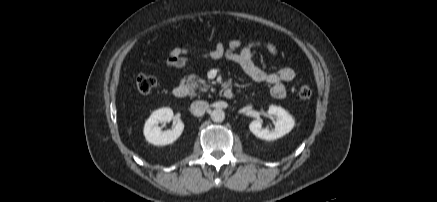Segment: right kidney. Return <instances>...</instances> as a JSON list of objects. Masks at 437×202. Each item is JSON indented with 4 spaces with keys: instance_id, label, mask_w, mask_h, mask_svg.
I'll use <instances>...</instances> for the list:
<instances>
[{
    "instance_id": "ca27d5eb",
    "label": "right kidney",
    "mask_w": 437,
    "mask_h": 202,
    "mask_svg": "<svg viewBox=\"0 0 437 202\" xmlns=\"http://www.w3.org/2000/svg\"><path fill=\"white\" fill-rule=\"evenodd\" d=\"M173 120V127L167 131H162L158 126L159 123L170 122ZM184 123L181 119L174 117L170 108H161L154 111L144 126V135L146 140L156 146L171 144L176 141L182 134Z\"/></svg>"
}]
</instances>
